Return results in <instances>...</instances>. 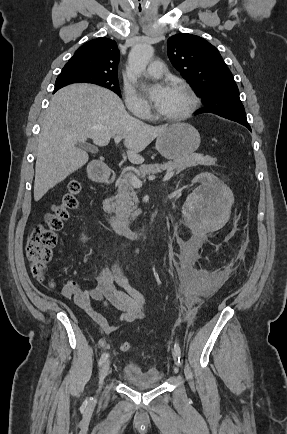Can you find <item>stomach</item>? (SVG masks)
Segmentation results:
<instances>
[{
  "mask_svg": "<svg viewBox=\"0 0 287 434\" xmlns=\"http://www.w3.org/2000/svg\"><path fill=\"white\" fill-rule=\"evenodd\" d=\"M200 142V135L192 125L176 123L157 137L155 146L163 157L175 160L194 153Z\"/></svg>",
  "mask_w": 287,
  "mask_h": 434,
  "instance_id": "obj_1",
  "label": "stomach"
}]
</instances>
